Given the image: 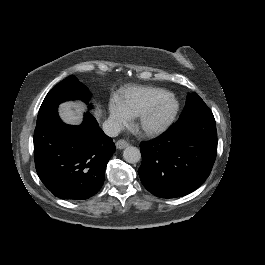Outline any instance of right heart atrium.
I'll list each match as a JSON object with an SVG mask.
<instances>
[{"label":"right heart atrium","mask_w":265,"mask_h":265,"mask_svg":"<svg viewBox=\"0 0 265 265\" xmlns=\"http://www.w3.org/2000/svg\"><path fill=\"white\" fill-rule=\"evenodd\" d=\"M131 123V118L123 115L116 107H112L109 112L108 126L113 130H120Z\"/></svg>","instance_id":"1"}]
</instances>
